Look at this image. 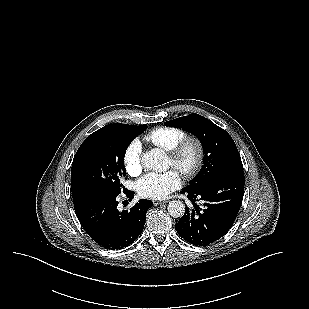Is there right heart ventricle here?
Wrapping results in <instances>:
<instances>
[{
    "instance_id": "obj_1",
    "label": "right heart ventricle",
    "mask_w": 309,
    "mask_h": 309,
    "mask_svg": "<svg viewBox=\"0 0 309 309\" xmlns=\"http://www.w3.org/2000/svg\"><path fill=\"white\" fill-rule=\"evenodd\" d=\"M186 136L187 133L177 127H158L145 134L144 140L169 152Z\"/></svg>"
}]
</instances>
